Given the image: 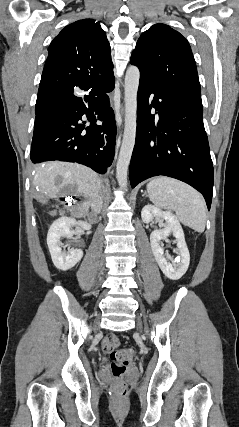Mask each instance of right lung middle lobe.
Listing matches in <instances>:
<instances>
[{"instance_id":"obj_1","label":"right lung middle lobe","mask_w":239,"mask_h":427,"mask_svg":"<svg viewBox=\"0 0 239 427\" xmlns=\"http://www.w3.org/2000/svg\"><path fill=\"white\" fill-rule=\"evenodd\" d=\"M38 109V104H36V108H35V111Z\"/></svg>"}]
</instances>
